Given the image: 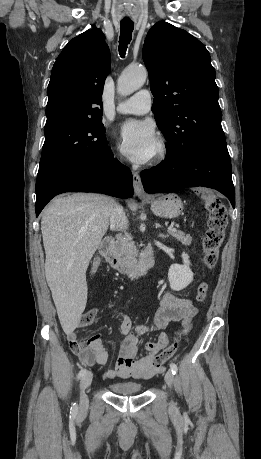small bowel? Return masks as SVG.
Returning a JSON list of instances; mask_svg holds the SVG:
<instances>
[{
  "instance_id": "small-bowel-1",
  "label": "small bowel",
  "mask_w": 261,
  "mask_h": 459,
  "mask_svg": "<svg viewBox=\"0 0 261 459\" xmlns=\"http://www.w3.org/2000/svg\"><path fill=\"white\" fill-rule=\"evenodd\" d=\"M100 259L95 258L91 265L92 272L100 266ZM198 309L190 299L178 297L170 291L165 292L160 300V307L153 320L148 324L135 325L127 315H121V332L123 340L119 357L115 365L107 369L103 378H147L156 370L154 359L156 353L165 348L177 332L166 333L164 330L171 322L187 325L197 314ZM157 332L154 340L144 347V354L138 356L140 338ZM67 338L73 352L85 365H105L108 353L100 334H94L86 340H79L75 330L67 332Z\"/></svg>"
}]
</instances>
